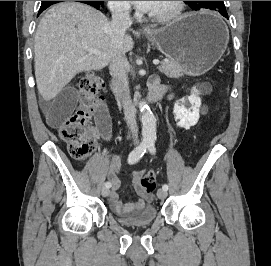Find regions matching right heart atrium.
Instances as JSON below:
<instances>
[{
  "instance_id": "right-heart-atrium-1",
  "label": "right heart atrium",
  "mask_w": 271,
  "mask_h": 266,
  "mask_svg": "<svg viewBox=\"0 0 271 266\" xmlns=\"http://www.w3.org/2000/svg\"><path fill=\"white\" fill-rule=\"evenodd\" d=\"M110 10L118 16L129 17L132 8L129 1H108Z\"/></svg>"
}]
</instances>
